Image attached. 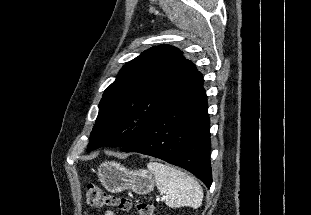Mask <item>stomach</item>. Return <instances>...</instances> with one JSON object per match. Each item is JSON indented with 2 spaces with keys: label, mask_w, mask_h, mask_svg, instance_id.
I'll return each instance as SVG.
<instances>
[{
  "label": "stomach",
  "mask_w": 311,
  "mask_h": 215,
  "mask_svg": "<svg viewBox=\"0 0 311 215\" xmlns=\"http://www.w3.org/2000/svg\"><path fill=\"white\" fill-rule=\"evenodd\" d=\"M98 176L103 186L112 193L132 190L139 195L152 192L155 185L153 174L145 169L129 170L116 162L102 163Z\"/></svg>",
  "instance_id": "1"
}]
</instances>
